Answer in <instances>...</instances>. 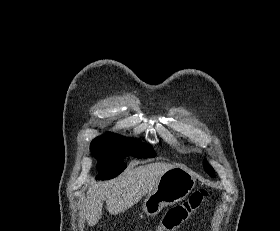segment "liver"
Instances as JSON below:
<instances>
[{
  "label": "liver",
  "mask_w": 280,
  "mask_h": 231,
  "mask_svg": "<svg viewBox=\"0 0 280 231\" xmlns=\"http://www.w3.org/2000/svg\"><path fill=\"white\" fill-rule=\"evenodd\" d=\"M171 167L173 165L165 163V161L139 165V167L132 165L119 177H115L107 183L89 185L83 203L84 215L89 225H95L99 221L105 199L110 213L125 211L140 201L145 193L155 189L161 175Z\"/></svg>",
  "instance_id": "6515ba94"
}]
</instances>
